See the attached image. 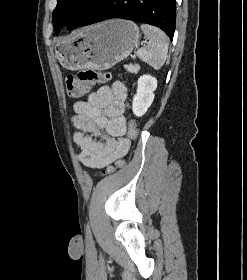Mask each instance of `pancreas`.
<instances>
[{"label":"pancreas","instance_id":"obj_1","mask_svg":"<svg viewBox=\"0 0 247 280\" xmlns=\"http://www.w3.org/2000/svg\"><path fill=\"white\" fill-rule=\"evenodd\" d=\"M125 68L127 69V71L134 74H136L140 69L139 65H132V64L125 65Z\"/></svg>","mask_w":247,"mask_h":280}]
</instances>
